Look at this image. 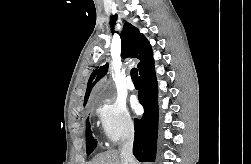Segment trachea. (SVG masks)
<instances>
[{"label": "trachea", "instance_id": "trachea-1", "mask_svg": "<svg viewBox=\"0 0 251 164\" xmlns=\"http://www.w3.org/2000/svg\"><path fill=\"white\" fill-rule=\"evenodd\" d=\"M131 78L133 82H139V77H138V70L137 68H132L131 69Z\"/></svg>", "mask_w": 251, "mask_h": 164}]
</instances>
